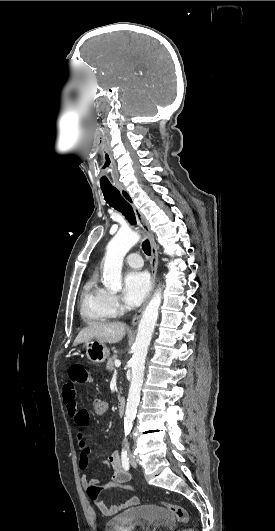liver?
Wrapping results in <instances>:
<instances>
[{
  "label": "liver",
  "instance_id": "6515ba94",
  "mask_svg": "<svg viewBox=\"0 0 275 531\" xmlns=\"http://www.w3.org/2000/svg\"><path fill=\"white\" fill-rule=\"evenodd\" d=\"M126 331L123 323H89L88 327L78 333L73 347L80 343H87L91 339H97L100 343H119Z\"/></svg>",
  "mask_w": 275,
  "mask_h": 531
}]
</instances>
